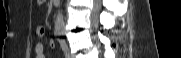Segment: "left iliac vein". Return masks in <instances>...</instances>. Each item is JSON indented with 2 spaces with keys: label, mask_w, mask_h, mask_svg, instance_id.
Returning <instances> with one entry per match:
<instances>
[{
  "label": "left iliac vein",
  "mask_w": 181,
  "mask_h": 58,
  "mask_svg": "<svg viewBox=\"0 0 181 58\" xmlns=\"http://www.w3.org/2000/svg\"><path fill=\"white\" fill-rule=\"evenodd\" d=\"M66 58H71V54L67 47H66Z\"/></svg>",
  "instance_id": "1"
}]
</instances>
